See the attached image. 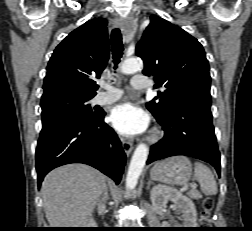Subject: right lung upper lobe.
<instances>
[{
  "instance_id": "obj_1",
  "label": "right lung upper lobe",
  "mask_w": 252,
  "mask_h": 231,
  "mask_svg": "<svg viewBox=\"0 0 252 231\" xmlns=\"http://www.w3.org/2000/svg\"><path fill=\"white\" fill-rule=\"evenodd\" d=\"M105 19H92L72 31L54 50L44 78L42 100L62 94L95 96L100 73L109 59Z\"/></svg>"
}]
</instances>
